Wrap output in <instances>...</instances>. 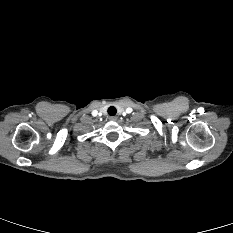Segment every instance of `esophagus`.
Wrapping results in <instances>:
<instances>
[{
	"mask_svg": "<svg viewBox=\"0 0 233 233\" xmlns=\"http://www.w3.org/2000/svg\"><path fill=\"white\" fill-rule=\"evenodd\" d=\"M118 117L117 116H110L109 120L111 121H117Z\"/></svg>",
	"mask_w": 233,
	"mask_h": 233,
	"instance_id": "obj_1",
	"label": "esophagus"
}]
</instances>
